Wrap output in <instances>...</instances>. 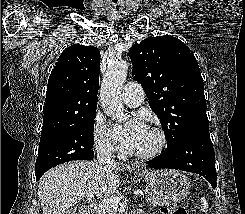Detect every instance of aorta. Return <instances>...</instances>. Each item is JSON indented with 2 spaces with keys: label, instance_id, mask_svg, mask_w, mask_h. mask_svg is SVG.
Here are the masks:
<instances>
[{
  "label": "aorta",
  "instance_id": "762f6f07",
  "mask_svg": "<svg viewBox=\"0 0 245 214\" xmlns=\"http://www.w3.org/2000/svg\"><path fill=\"white\" fill-rule=\"evenodd\" d=\"M129 65L126 61H116L108 66L104 75L100 101L107 116L117 121L124 120L121 91L126 80Z\"/></svg>",
  "mask_w": 245,
  "mask_h": 214
}]
</instances>
